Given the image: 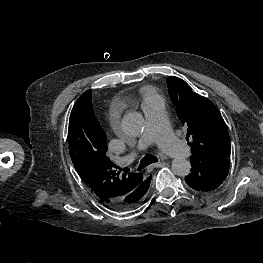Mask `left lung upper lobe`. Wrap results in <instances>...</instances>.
<instances>
[{"instance_id":"5c2ea615","label":"left lung upper lobe","mask_w":263,"mask_h":263,"mask_svg":"<svg viewBox=\"0 0 263 263\" xmlns=\"http://www.w3.org/2000/svg\"><path fill=\"white\" fill-rule=\"evenodd\" d=\"M168 92L178 118L187 128L190 159L209 161L230 157V139L226 124L217 107L209 99L195 93L175 76L167 78ZM188 140V138H187Z\"/></svg>"}]
</instances>
